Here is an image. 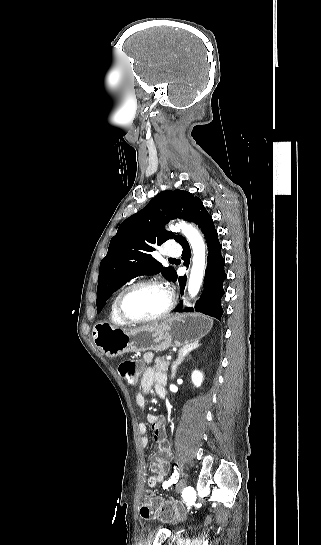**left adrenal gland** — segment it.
Listing matches in <instances>:
<instances>
[{
    "label": "left adrenal gland",
    "instance_id": "obj_1",
    "mask_svg": "<svg viewBox=\"0 0 321 545\" xmlns=\"http://www.w3.org/2000/svg\"><path fill=\"white\" fill-rule=\"evenodd\" d=\"M197 347H199L198 341H196V343H191V345H187V347H183V349H180V351H178L179 357H178L177 361H175V363H173V365H172L171 379H174V377L176 375V371H177L179 365H181L182 361H184L185 357H188V355H190L191 351H194V349H197Z\"/></svg>",
    "mask_w": 321,
    "mask_h": 545
}]
</instances>
